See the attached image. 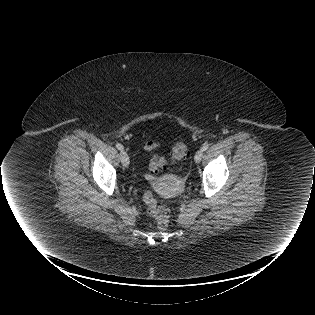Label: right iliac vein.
<instances>
[{
	"instance_id": "right-iliac-vein-1",
	"label": "right iliac vein",
	"mask_w": 315,
	"mask_h": 315,
	"mask_svg": "<svg viewBox=\"0 0 315 315\" xmlns=\"http://www.w3.org/2000/svg\"><path fill=\"white\" fill-rule=\"evenodd\" d=\"M121 163L124 167H128L129 165V156L125 151H121L120 153Z\"/></svg>"
}]
</instances>
